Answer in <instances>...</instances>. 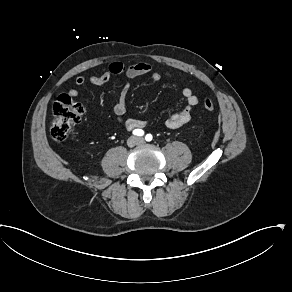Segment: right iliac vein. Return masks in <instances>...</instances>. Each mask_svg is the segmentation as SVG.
Wrapping results in <instances>:
<instances>
[{"label": "right iliac vein", "instance_id": "right-iliac-vein-1", "mask_svg": "<svg viewBox=\"0 0 292 292\" xmlns=\"http://www.w3.org/2000/svg\"><path fill=\"white\" fill-rule=\"evenodd\" d=\"M127 144H128L129 147H133V146H135L137 144V139L134 138V137L133 138H130L128 140Z\"/></svg>", "mask_w": 292, "mask_h": 292}]
</instances>
